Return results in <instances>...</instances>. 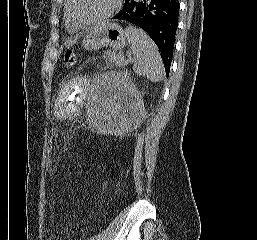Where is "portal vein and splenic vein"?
Listing matches in <instances>:
<instances>
[{
    "instance_id": "18ae733b",
    "label": "portal vein and splenic vein",
    "mask_w": 257,
    "mask_h": 240,
    "mask_svg": "<svg viewBox=\"0 0 257 240\" xmlns=\"http://www.w3.org/2000/svg\"><path fill=\"white\" fill-rule=\"evenodd\" d=\"M119 59L122 61L123 65H126L128 63V61L125 60L124 56H120Z\"/></svg>"
}]
</instances>
